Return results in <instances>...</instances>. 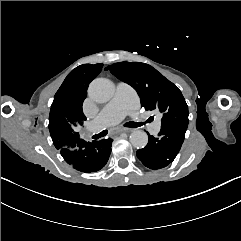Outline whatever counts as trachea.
Returning a JSON list of instances; mask_svg holds the SVG:
<instances>
[{
  "label": "trachea",
  "instance_id": "3493384b",
  "mask_svg": "<svg viewBox=\"0 0 241 241\" xmlns=\"http://www.w3.org/2000/svg\"><path fill=\"white\" fill-rule=\"evenodd\" d=\"M143 125H145L144 122H137V123H135V122H129V123L126 124V126H128V127H134V128H137V127H140V126H143ZM107 133H108L107 130H103V131L100 132L99 134L94 135L93 138H94L95 140H97V139H99V138H101V137L106 136Z\"/></svg>",
  "mask_w": 241,
  "mask_h": 241
}]
</instances>
